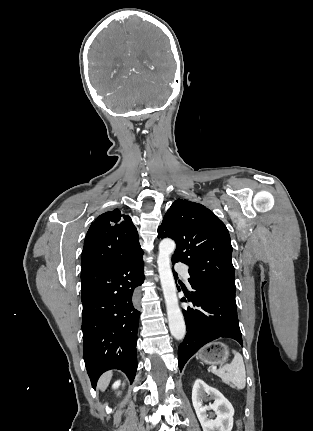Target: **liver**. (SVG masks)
Returning a JSON list of instances; mask_svg holds the SVG:
<instances>
[{
  "instance_id": "liver-1",
  "label": "liver",
  "mask_w": 313,
  "mask_h": 431,
  "mask_svg": "<svg viewBox=\"0 0 313 431\" xmlns=\"http://www.w3.org/2000/svg\"><path fill=\"white\" fill-rule=\"evenodd\" d=\"M111 378H112V372H107V373L103 374L101 376V378L99 379L98 388L101 391H104L107 388V386L109 385Z\"/></svg>"
}]
</instances>
